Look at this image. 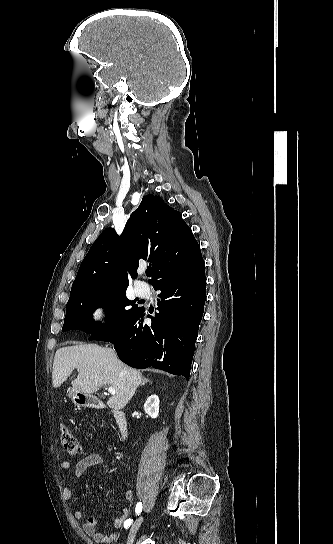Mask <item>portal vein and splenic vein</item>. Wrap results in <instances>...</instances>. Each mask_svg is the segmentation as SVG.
Here are the masks:
<instances>
[{"mask_svg": "<svg viewBox=\"0 0 333 544\" xmlns=\"http://www.w3.org/2000/svg\"><path fill=\"white\" fill-rule=\"evenodd\" d=\"M108 392H110L111 394H115V389L112 386H110L108 388Z\"/></svg>", "mask_w": 333, "mask_h": 544, "instance_id": "1", "label": "portal vein and splenic vein"}]
</instances>
